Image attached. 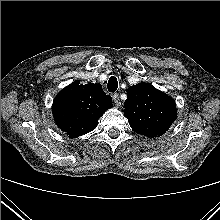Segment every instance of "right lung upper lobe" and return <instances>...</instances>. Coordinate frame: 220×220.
<instances>
[{"label":"right lung upper lobe","mask_w":220,"mask_h":220,"mask_svg":"<svg viewBox=\"0 0 220 220\" xmlns=\"http://www.w3.org/2000/svg\"><path fill=\"white\" fill-rule=\"evenodd\" d=\"M112 98L100 84L82 85L75 81L60 91L52 105L58 127L70 138L93 131L98 119L112 107Z\"/></svg>","instance_id":"1"}]
</instances>
